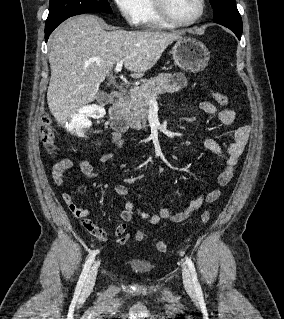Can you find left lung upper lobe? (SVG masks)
<instances>
[{
    "label": "left lung upper lobe",
    "mask_w": 284,
    "mask_h": 319,
    "mask_svg": "<svg viewBox=\"0 0 284 319\" xmlns=\"http://www.w3.org/2000/svg\"><path fill=\"white\" fill-rule=\"evenodd\" d=\"M214 10V22H227L242 26V19L235 0H210Z\"/></svg>",
    "instance_id": "1"
}]
</instances>
